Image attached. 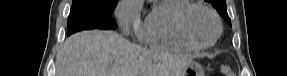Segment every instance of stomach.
Segmentation results:
<instances>
[{
    "label": "stomach",
    "instance_id": "0dacf381",
    "mask_svg": "<svg viewBox=\"0 0 287 76\" xmlns=\"http://www.w3.org/2000/svg\"><path fill=\"white\" fill-rule=\"evenodd\" d=\"M202 67L197 62H190L181 76H204Z\"/></svg>",
    "mask_w": 287,
    "mask_h": 76
}]
</instances>
